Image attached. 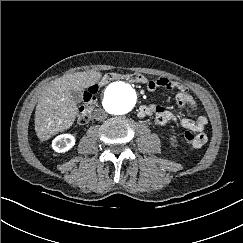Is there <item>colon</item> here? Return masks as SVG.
<instances>
[{"label":"colon","mask_w":243,"mask_h":243,"mask_svg":"<svg viewBox=\"0 0 243 243\" xmlns=\"http://www.w3.org/2000/svg\"><path fill=\"white\" fill-rule=\"evenodd\" d=\"M116 79H124L129 82L142 83V84H145L147 82L146 77L140 73L122 74V73H117V72H109L102 77L100 84L104 85V84H107L110 81L116 80ZM98 90H99V86L94 85V86L88 88L87 91H85L84 96H83V104L79 108L78 114H77V119H78L79 123L85 124L90 120L92 110H93L94 104L96 102V96H97ZM184 138L190 144H193L197 141L196 134H194L192 131H189V130L184 132Z\"/></svg>","instance_id":"obj_1"}]
</instances>
